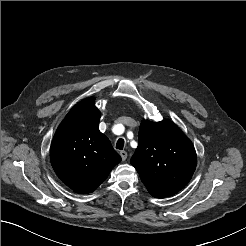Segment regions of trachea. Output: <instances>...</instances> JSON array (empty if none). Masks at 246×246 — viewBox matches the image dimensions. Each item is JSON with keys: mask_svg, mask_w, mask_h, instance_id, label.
I'll return each instance as SVG.
<instances>
[{"mask_svg": "<svg viewBox=\"0 0 246 246\" xmlns=\"http://www.w3.org/2000/svg\"><path fill=\"white\" fill-rule=\"evenodd\" d=\"M123 147H124V140H123L122 138H120V139L117 141L116 149L122 150Z\"/></svg>", "mask_w": 246, "mask_h": 246, "instance_id": "obj_1", "label": "trachea"}]
</instances>
